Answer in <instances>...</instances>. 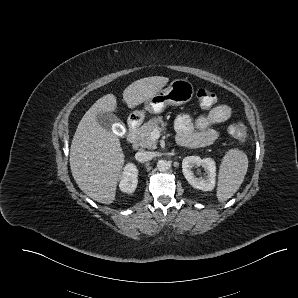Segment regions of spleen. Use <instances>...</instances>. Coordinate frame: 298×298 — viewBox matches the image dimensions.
I'll return each instance as SVG.
<instances>
[{"instance_id":"3e777b00","label":"spleen","mask_w":298,"mask_h":298,"mask_svg":"<svg viewBox=\"0 0 298 298\" xmlns=\"http://www.w3.org/2000/svg\"><path fill=\"white\" fill-rule=\"evenodd\" d=\"M248 168V160L244 153L231 150L228 152L219 171L217 196L219 201L230 198L240 187Z\"/></svg>"}]
</instances>
